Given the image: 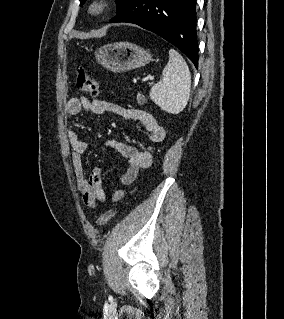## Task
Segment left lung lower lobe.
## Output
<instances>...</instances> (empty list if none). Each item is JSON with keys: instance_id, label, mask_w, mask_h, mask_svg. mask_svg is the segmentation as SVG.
Wrapping results in <instances>:
<instances>
[{"instance_id": "obj_1", "label": "left lung lower lobe", "mask_w": 284, "mask_h": 319, "mask_svg": "<svg viewBox=\"0 0 284 319\" xmlns=\"http://www.w3.org/2000/svg\"><path fill=\"white\" fill-rule=\"evenodd\" d=\"M110 22L133 23L156 33L198 67L196 0H130Z\"/></svg>"}]
</instances>
